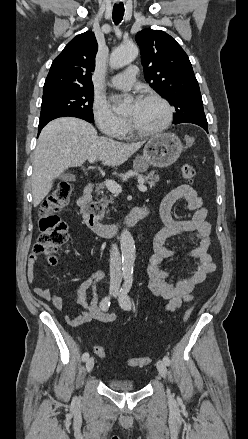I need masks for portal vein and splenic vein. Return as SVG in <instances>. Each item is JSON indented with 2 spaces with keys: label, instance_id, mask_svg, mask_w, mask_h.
<instances>
[{
  "label": "portal vein and splenic vein",
  "instance_id": "portal-vein-and-splenic-vein-1",
  "mask_svg": "<svg viewBox=\"0 0 248 439\" xmlns=\"http://www.w3.org/2000/svg\"><path fill=\"white\" fill-rule=\"evenodd\" d=\"M95 160H96L95 158L88 159V161L90 163H94ZM105 185L108 188V190L114 194H119L122 191V187L117 182H115L113 180H110V179L106 180ZM137 187L141 192L147 191V187L143 184V182L139 183V185Z\"/></svg>",
  "mask_w": 248,
  "mask_h": 439
}]
</instances>
